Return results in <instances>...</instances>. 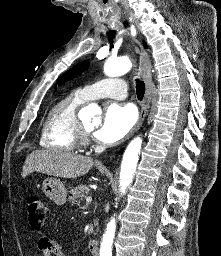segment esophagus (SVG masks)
<instances>
[{"label": "esophagus", "instance_id": "esophagus-1", "mask_svg": "<svg viewBox=\"0 0 221 256\" xmlns=\"http://www.w3.org/2000/svg\"><path fill=\"white\" fill-rule=\"evenodd\" d=\"M139 46H140V51H139L140 70H141L142 77L146 84V92H145L143 102L141 104V111L139 114V119H138L135 127L131 130V132L127 136V138H130L136 131L139 130V128L141 127V125L148 113V109H149L150 102H151V82H152L151 62H150V58H149V55L146 52V50L140 45V43H139Z\"/></svg>", "mask_w": 221, "mask_h": 256}]
</instances>
